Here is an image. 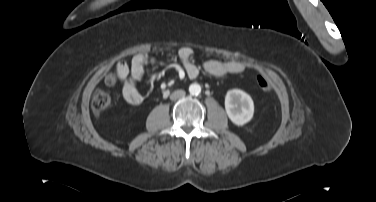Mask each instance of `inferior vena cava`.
I'll return each mask as SVG.
<instances>
[{
    "instance_id": "1",
    "label": "inferior vena cava",
    "mask_w": 376,
    "mask_h": 202,
    "mask_svg": "<svg viewBox=\"0 0 376 202\" xmlns=\"http://www.w3.org/2000/svg\"><path fill=\"white\" fill-rule=\"evenodd\" d=\"M185 95V91L183 90H178L176 92H174L172 95H171V99L172 100H175L177 98H180V97H183Z\"/></svg>"
}]
</instances>
